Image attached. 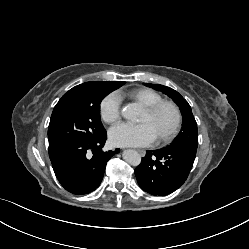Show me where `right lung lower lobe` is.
Wrapping results in <instances>:
<instances>
[{"instance_id": "1", "label": "right lung lower lobe", "mask_w": 249, "mask_h": 249, "mask_svg": "<svg viewBox=\"0 0 249 249\" xmlns=\"http://www.w3.org/2000/svg\"><path fill=\"white\" fill-rule=\"evenodd\" d=\"M106 139L104 133L91 141L69 143L49 151L54 173L68 192L83 195L100 185L107 161L120 151L103 152Z\"/></svg>"}]
</instances>
